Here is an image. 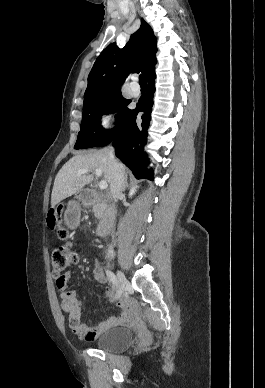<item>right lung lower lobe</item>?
<instances>
[{"label":"right lung lower lobe","mask_w":265,"mask_h":388,"mask_svg":"<svg viewBox=\"0 0 265 388\" xmlns=\"http://www.w3.org/2000/svg\"><path fill=\"white\" fill-rule=\"evenodd\" d=\"M156 75L148 79V91L142 96L134 110H130L118 134L112 141L116 156L129 167L136 178L153 180V171L147 170L149 164L144 145L147 142V129L151 120ZM143 112L142 123H136V116Z\"/></svg>","instance_id":"obj_1"}]
</instances>
